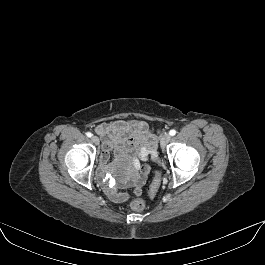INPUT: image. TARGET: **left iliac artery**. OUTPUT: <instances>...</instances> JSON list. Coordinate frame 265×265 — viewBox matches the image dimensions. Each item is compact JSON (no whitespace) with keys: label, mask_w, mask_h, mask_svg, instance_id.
<instances>
[{"label":"left iliac artery","mask_w":265,"mask_h":265,"mask_svg":"<svg viewBox=\"0 0 265 265\" xmlns=\"http://www.w3.org/2000/svg\"><path fill=\"white\" fill-rule=\"evenodd\" d=\"M176 134V130L172 129L169 131L170 136H174Z\"/></svg>","instance_id":"left-iliac-artery-1"}]
</instances>
